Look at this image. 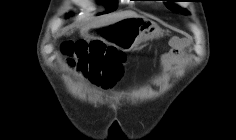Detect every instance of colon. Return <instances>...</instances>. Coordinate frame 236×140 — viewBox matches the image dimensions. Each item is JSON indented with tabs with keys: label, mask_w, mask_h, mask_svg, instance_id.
I'll list each match as a JSON object with an SVG mask.
<instances>
[{
	"label": "colon",
	"mask_w": 236,
	"mask_h": 140,
	"mask_svg": "<svg viewBox=\"0 0 236 140\" xmlns=\"http://www.w3.org/2000/svg\"><path fill=\"white\" fill-rule=\"evenodd\" d=\"M62 49L71 66L78 67L103 86L114 84L123 73L124 55L100 40L67 41Z\"/></svg>",
	"instance_id": "1"
}]
</instances>
